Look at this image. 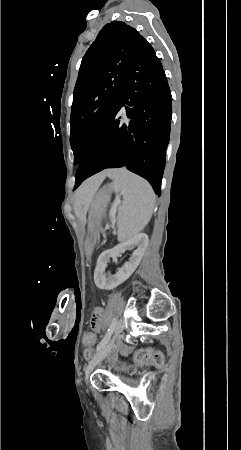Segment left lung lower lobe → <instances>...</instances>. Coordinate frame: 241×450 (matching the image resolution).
I'll return each mask as SVG.
<instances>
[{
	"instance_id": "obj_1",
	"label": "left lung lower lobe",
	"mask_w": 241,
	"mask_h": 450,
	"mask_svg": "<svg viewBox=\"0 0 241 450\" xmlns=\"http://www.w3.org/2000/svg\"><path fill=\"white\" fill-rule=\"evenodd\" d=\"M122 107L126 123L121 120ZM171 119L170 88L149 45L133 55L116 107L97 129L78 164L75 188L103 169L124 167L144 177L160 195Z\"/></svg>"
}]
</instances>
